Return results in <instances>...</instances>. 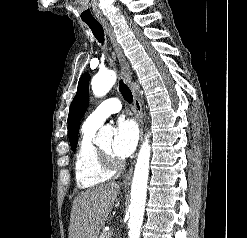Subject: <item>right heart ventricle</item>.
I'll use <instances>...</instances> for the list:
<instances>
[{"instance_id": "right-heart-ventricle-1", "label": "right heart ventricle", "mask_w": 247, "mask_h": 238, "mask_svg": "<svg viewBox=\"0 0 247 238\" xmlns=\"http://www.w3.org/2000/svg\"><path fill=\"white\" fill-rule=\"evenodd\" d=\"M97 129L83 125L75 154V179L77 185L83 189L98 186L113 176V172L105 169L100 162L98 148L94 144Z\"/></svg>"}]
</instances>
